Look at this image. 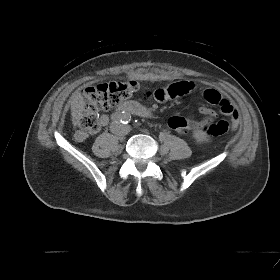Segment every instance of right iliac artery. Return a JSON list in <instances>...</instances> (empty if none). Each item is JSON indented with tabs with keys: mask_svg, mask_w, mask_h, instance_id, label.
<instances>
[{
	"mask_svg": "<svg viewBox=\"0 0 280 280\" xmlns=\"http://www.w3.org/2000/svg\"><path fill=\"white\" fill-rule=\"evenodd\" d=\"M123 112H118V113H115L112 115V120L114 121H119V120H122V117H123Z\"/></svg>",
	"mask_w": 280,
	"mask_h": 280,
	"instance_id": "obj_1",
	"label": "right iliac artery"
}]
</instances>
